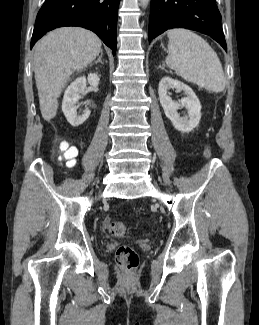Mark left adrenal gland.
<instances>
[{
    "label": "left adrenal gland",
    "mask_w": 259,
    "mask_h": 325,
    "mask_svg": "<svg viewBox=\"0 0 259 325\" xmlns=\"http://www.w3.org/2000/svg\"><path fill=\"white\" fill-rule=\"evenodd\" d=\"M159 68H161L162 70L166 71L165 70V65L163 64L162 66H159Z\"/></svg>",
    "instance_id": "left-adrenal-gland-1"
}]
</instances>
